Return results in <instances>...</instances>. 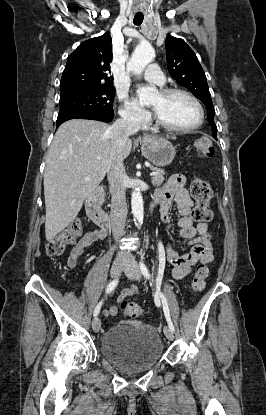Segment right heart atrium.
Returning <instances> with one entry per match:
<instances>
[{
	"label": "right heart atrium",
	"instance_id": "right-heart-atrium-1",
	"mask_svg": "<svg viewBox=\"0 0 266 415\" xmlns=\"http://www.w3.org/2000/svg\"><path fill=\"white\" fill-rule=\"evenodd\" d=\"M120 115L124 120L136 125H144L149 120L148 113L132 107H122Z\"/></svg>",
	"mask_w": 266,
	"mask_h": 415
}]
</instances>
